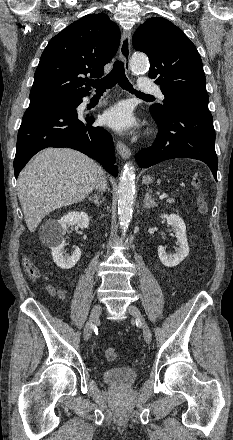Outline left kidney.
I'll list each match as a JSON object with an SVG mask.
<instances>
[{"label":"left kidney","instance_id":"1","mask_svg":"<svg viewBox=\"0 0 233 440\" xmlns=\"http://www.w3.org/2000/svg\"><path fill=\"white\" fill-rule=\"evenodd\" d=\"M161 218H165L167 223L173 228L178 246L175 248V253L173 255H169L166 253L165 247L160 245L158 247V256L163 265L167 267H174L183 261L189 254V246L186 237V225L183 219L176 214H164L161 215Z\"/></svg>","mask_w":233,"mask_h":440}]
</instances>
